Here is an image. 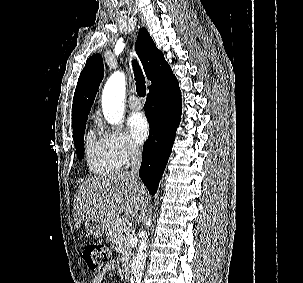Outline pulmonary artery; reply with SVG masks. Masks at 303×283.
I'll return each mask as SVG.
<instances>
[{
  "instance_id": "1",
  "label": "pulmonary artery",
  "mask_w": 303,
  "mask_h": 283,
  "mask_svg": "<svg viewBox=\"0 0 303 283\" xmlns=\"http://www.w3.org/2000/svg\"><path fill=\"white\" fill-rule=\"evenodd\" d=\"M128 104L132 110H139L143 106L141 100L136 96L131 97L130 100L128 101Z\"/></svg>"
}]
</instances>
